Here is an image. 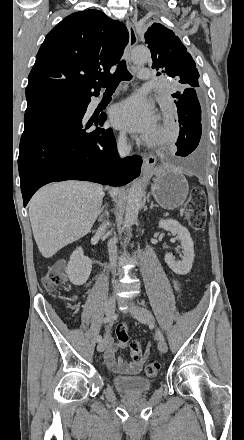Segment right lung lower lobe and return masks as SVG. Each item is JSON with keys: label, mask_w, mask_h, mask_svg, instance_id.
Listing matches in <instances>:
<instances>
[{"label": "right lung lower lobe", "mask_w": 244, "mask_h": 440, "mask_svg": "<svg viewBox=\"0 0 244 440\" xmlns=\"http://www.w3.org/2000/svg\"><path fill=\"white\" fill-rule=\"evenodd\" d=\"M90 100L91 96L82 107L28 103L18 157L24 207L41 186L50 182L84 180L119 186L139 176L142 158L133 155L120 159L112 129L97 127L106 116L88 123L83 120Z\"/></svg>", "instance_id": "right-lung-lower-lobe-1"}]
</instances>
